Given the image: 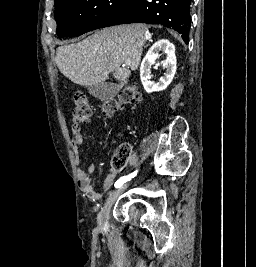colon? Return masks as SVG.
Listing matches in <instances>:
<instances>
[{
	"label": "colon",
	"instance_id": "5ec220e1",
	"mask_svg": "<svg viewBox=\"0 0 256 267\" xmlns=\"http://www.w3.org/2000/svg\"><path fill=\"white\" fill-rule=\"evenodd\" d=\"M140 94L134 85L127 86L122 89L116 98H108L101 100L100 113L104 117H110L119 112L124 107L138 102ZM92 105L88 98L83 95H76L73 99V116L78 123H86L91 115ZM131 149L128 144L120 145L112 158L115 168L122 169L129 157Z\"/></svg>",
	"mask_w": 256,
	"mask_h": 267
}]
</instances>
